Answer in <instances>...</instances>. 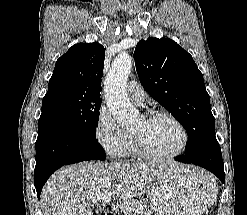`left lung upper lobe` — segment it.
Instances as JSON below:
<instances>
[{"label": "left lung upper lobe", "instance_id": "5c2ea615", "mask_svg": "<svg viewBox=\"0 0 247 215\" xmlns=\"http://www.w3.org/2000/svg\"><path fill=\"white\" fill-rule=\"evenodd\" d=\"M134 59L145 90L186 129L185 154H192L200 140H216L210 96L187 51L171 39L149 38L139 41Z\"/></svg>", "mask_w": 247, "mask_h": 215}]
</instances>
